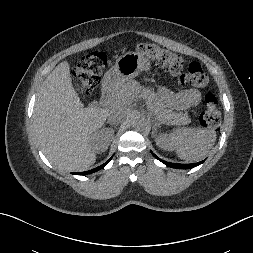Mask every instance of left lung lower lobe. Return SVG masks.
<instances>
[{
	"label": "left lung lower lobe",
	"instance_id": "0a47b994",
	"mask_svg": "<svg viewBox=\"0 0 253 253\" xmlns=\"http://www.w3.org/2000/svg\"><path fill=\"white\" fill-rule=\"evenodd\" d=\"M158 160H160L162 163H164L165 165L167 166H170V167H173V168H177V169H191V168H194L200 164H202L204 162L201 161V162H197V163H192V164H175V163H169V162H166V161H163L161 159H159L154 153H152Z\"/></svg>",
	"mask_w": 253,
	"mask_h": 253
}]
</instances>
